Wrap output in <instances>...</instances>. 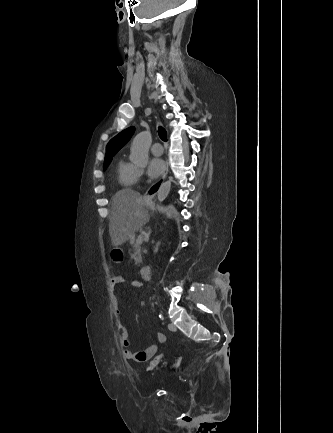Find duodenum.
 Wrapping results in <instances>:
<instances>
[{"label":"duodenum","instance_id":"410a0bca","mask_svg":"<svg viewBox=\"0 0 333 433\" xmlns=\"http://www.w3.org/2000/svg\"><path fill=\"white\" fill-rule=\"evenodd\" d=\"M131 242L129 243L131 246L134 244L133 242H136V237H131ZM151 274H152V271H151V268L149 267V266H143V267H141V269H140V275H141V278L143 279V280H150L151 279Z\"/></svg>","mask_w":333,"mask_h":433}]
</instances>
